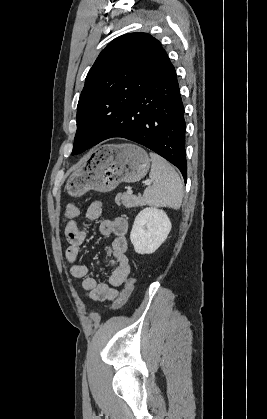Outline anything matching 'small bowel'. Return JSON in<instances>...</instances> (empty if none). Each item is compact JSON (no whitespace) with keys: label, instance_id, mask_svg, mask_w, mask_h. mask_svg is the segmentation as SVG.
Here are the masks:
<instances>
[{"label":"small bowel","instance_id":"small-bowel-1","mask_svg":"<svg viewBox=\"0 0 267 419\" xmlns=\"http://www.w3.org/2000/svg\"><path fill=\"white\" fill-rule=\"evenodd\" d=\"M102 212V203L97 200L93 201L87 208L86 219L88 222H94L100 218ZM99 231L104 236H113L108 249L110 270L106 275L105 282H98L90 277L88 266L77 262L87 233L78 227L76 216L70 218L65 226V236L69 243L65 255L71 265V275L81 279V288L87 292L89 298L95 301L113 300L118 295L117 288L127 279L130 273V264L126 255L128 223L121 217L113 220H103L99 225Z\"/></svg>","mask_w":267,"mask_h":419}]
</instances>
